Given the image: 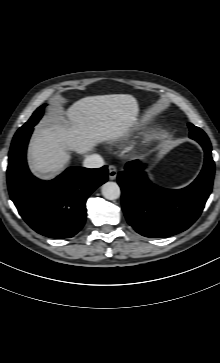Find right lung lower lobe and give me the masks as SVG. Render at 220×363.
Wrapping results in <instances>:
<instances>
[{
    "mask_svg": "<svg viewBox=\"0 0 220 363\" xmlns=\"http://www.w3.org/2000/svg\"><path fill=\"white\" fill-rule=\"evenodd\" d=\"M33 131L14 136L9 152L7 181L10 197L25 222L50 238H70L84 225L86 200L108 179V169L71 167L51 181L29 171L26 148Z\"/></svg>",
    "mask_w": 220,
    "mask_h": 363,
    "instance_id": "right-lung-lower-lobe-1",
    "label": "right lung lower lobe"
}]
</instances>
